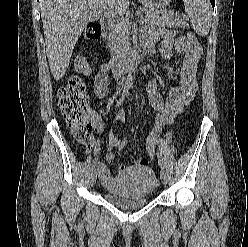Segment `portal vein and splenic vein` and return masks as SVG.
Instances as JSON below:
<instances>
[{"label":"portal vein and splenic vein","mask_w":248,"mask_h":247,"mask_svg":"<svg viewBox=\"0 0 248 247\" xmlns=\"http://www.w3.org/2000/svg\"><path fill=\"white\" fill-rule=\"evenodd\" d=\"M140 12H141V9H138V10H137V13L139 14ZM111 15H112L113 17H115L117 14H116V13H112Z\"/></svg>","instance_id":"18ae733b"}]
</instances>
